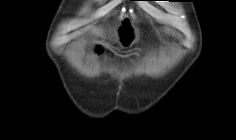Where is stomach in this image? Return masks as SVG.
I'll return each mask as SVG.
<instances>
[{
	"label": "stomach",
	"mask_w": 236,
	"mask_h": 140,
	"mask_svg": "<svg viewBox=\"0 0 236 140\" xmlns=\"http://www.w3.org/2000/svg\"><path fill=\"white\" fill-rule=\"evenodd\" d=\"M102 27H119L118 39L122 46L132 45L138 37V29L130 18L120 22H101V25H93V30H102Z\"/></svg>",
	"instance_id": "stomach-1"
}]
</instances>
